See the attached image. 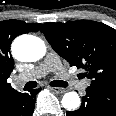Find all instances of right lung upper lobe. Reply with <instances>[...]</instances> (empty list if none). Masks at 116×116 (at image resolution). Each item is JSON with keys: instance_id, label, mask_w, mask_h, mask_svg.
<instances>
[{"instance_id": "right-lung-upper-lobe-1", "label": "right lung upper lobe", "mask_w": 116, "mask_h": 116, "mask_svg": "<svg viewBox=\"0 0 116 116\" xmlns=\"http://www.w3.org/2000/svg\"><path fill=\"white\" fill-rule=\"evenodd\" d=\"M40 27L41 24H29L20 20L0 21V110L18 92L7 83V79L14 68L10 45L17 36L28 32H36Z\"/></svg>"}]
</instances>
